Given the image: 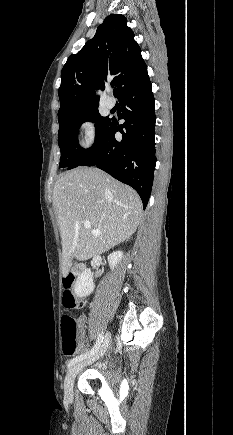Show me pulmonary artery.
<instances>
[{
	"instance_id": "e3ab8cb5",
	"label": "pulmonary artery",
	"mask_w": 233,
	"mask_h": 435,
	"mask_svg": "<svg viewBox=\"0 0 233 435\" xmlns=\"http://www.w3.org/2000/svg\"><path fill=\"white\" fill-rule=\"evenodd\" d=\"M106 106H107V108H109V109H112V108H114L115 107V99L112 97V96H107V99H106Z\"/></svg>"
}]
</instances>
